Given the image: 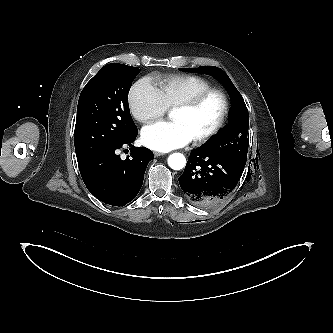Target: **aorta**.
<instances>
[{
    "label": "aorta",
    "instance_id": "aorta-1",
    "mask_svg": "<svg viewBox=\"0 0 333 333\" xmlns=\"http://www.w3.org/2000/svg\"><path fill=\"white\" fill-rule=\"evenodd\" d=\"M168 165L173 170H180L186 165V158L181 153H173L168 157Z\"/></svg>",
    "mask_w": 333,
    "mask_h": 333
}]
</instances>
